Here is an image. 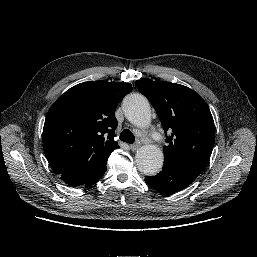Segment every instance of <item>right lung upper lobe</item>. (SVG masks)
Segmentation results:
<instances>
[{
  "instance_id": "cb5924a9",
  "label": "right lung upper lobe",
  "mask_w": 257,
  "mask_h": 257,
  "mask_svg": "<svg viewBox=\"0 0 257 257\" xmlns=\"http://www.w3.org/2000/svg\"><path fill=\"white\" fill-rule=\"evenodd\" d=\"M132 90L120 82H84L67 90L49 109L43 150L53 171L80 186L103 171L115 142L118 103Z\"/></svg>"
}]
</instances>
